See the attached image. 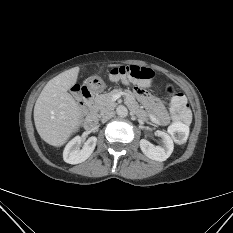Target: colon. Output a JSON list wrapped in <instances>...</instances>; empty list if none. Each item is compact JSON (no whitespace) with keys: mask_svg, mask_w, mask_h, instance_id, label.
Segmentation results:
<instances>
[{"mask_svg":"<svg viewBox=\"0 0 233 233\" xmlns=\"http://www.w3.org/2000/svg\"><path fill=\"white\" fill-rule=\"evenodd\" d=\"M110 76L111 79L115 81H122L125 83L132 82L141 86H148L154 77V73L148 68L131 65L114 68ZM82 90L83 89L79 86H76L74 89L83 106L84 100ZM167 91L172 94L170 108L172 123L169 126V131L174 141L182 145L186 142L188 137L187 124L191 117L189 105L186 98L182 94L176 93L171 86L167 87Z\"/></svg>","mask_w":233,"mask_h":233,"instance_id":"5ec220e1","label":"colon"}]
</instances>
